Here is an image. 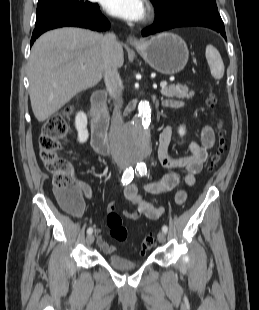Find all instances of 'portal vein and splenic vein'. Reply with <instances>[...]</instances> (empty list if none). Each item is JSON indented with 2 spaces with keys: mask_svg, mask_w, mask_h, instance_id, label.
Instances as JSON below:
<instances>
[{
  "mask_svg": "<svg viewBox=\"0 0 259 310\" xmlns=\"http://www.w3.org/2000/svg\"><path fill=\"white\" fill-rule=\"evenodd\" d=\"M167 84H168V83H167L166 81H163V82L160 83V87H162V88H163V87H166Z\"/></svg>",
  "mask_w": 259,
  "mask_h": 310,
  "instance_id": "18ae733b",
  "label": "portal vein and splenic vein"
}]
</instances>
